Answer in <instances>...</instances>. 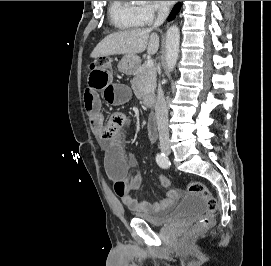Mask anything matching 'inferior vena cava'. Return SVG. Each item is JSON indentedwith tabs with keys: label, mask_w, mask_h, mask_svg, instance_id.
<instances>
[{
	"label": "inferior vena cava",
	"mask_w": 271,
	"mask_h": 266,
	"mask_svg": "<svg viewBox=\"0 0 271 266\" xmlns=\"http://www.w3.org/2000/svg\"><path fill=\"white\" fill-rule=\"evenodd\" d=\"M157 17L154 21L153 27L150 30L161 26L166 20L169 14V8L164 5H157ZM155 115L157 128L160 141L169 140V128H168V108L164 97V92L161 85H158L157 100L155 104Z\"/></svg>",
	"instance_id": "1"
}]
</instances>
